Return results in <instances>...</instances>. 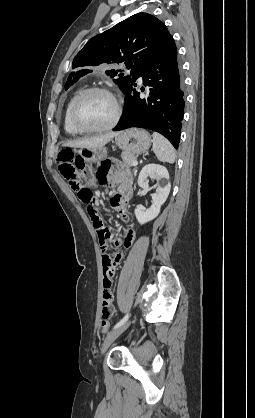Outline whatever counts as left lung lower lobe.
Wrapping results in <instances>:
<instances>
[{
  "label": "left lung lower lobe",
  "instance_id": "0a47b994",
  "mask_svg": "<svg viewBox=\"0 0 255 418\" xmlns=\"http://www.w3.org/2000/svg\"><path fill=\"white\" fill-rule=\"evenodd\" d=\"M142 77L149 93L141 98L135 90ZM183 73L177 48L172 38L164 49L150 56L136 71L125 94V109L113 129L131 127L159 132L177 148L184 115Z\"/></svg>",
  "mask_w": 255,
  "mask_h": 418
}]
</instances>
